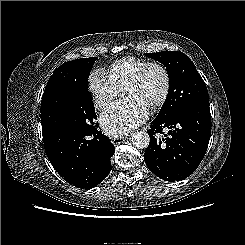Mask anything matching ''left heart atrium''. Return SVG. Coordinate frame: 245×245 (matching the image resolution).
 <instances>
[{"mask_svg":"<svg viewBox=\"0 0 245 245\" xmlns=\"http://www.w3.org/2000/svg\"><path fill=\"white\" fill-rule=\"evenodd\" d=\"M148 114L149 107L145 102L130 97L108 107L101 114L100 123L108 134L121 135L143 123Z\"/></svg>","mask_w":245,"mask_h":245,"instance_id":"1","label":"left heart atrium"}]
</instances>
